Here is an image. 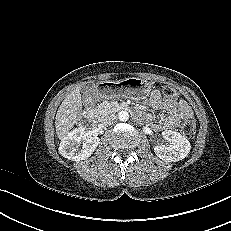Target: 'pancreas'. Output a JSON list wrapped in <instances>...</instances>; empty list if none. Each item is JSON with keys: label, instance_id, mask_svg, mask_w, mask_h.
<instances>
[{"label": "pancreas", "instance_id": "cf45deb5", "mask_svg": "<svg viewBox=\"0 0 231 231\" xmlns=\"http://www.w3.org/2000/svg\"><path fill=\"white\" fill-rule=\"evenodd\" d=\"M121 106L116 102H104L97 107L100 115L117 112Z\"/></svg>", "mask_w": 231, "mask_h": 231}]
</instances>
